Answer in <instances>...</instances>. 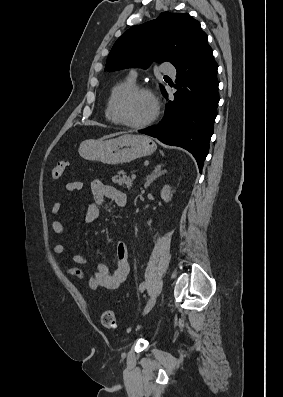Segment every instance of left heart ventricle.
<instances>
[{"label": "left heart ventricle", "instance_id": "b2bd125f", "mask_svg": "<svg viewBox=\"0 0 283 397\" xmlns=\"http://www.w3.org/2000/svg\"><path fill=\"white\" fill-rule=\"evenodd\" d=\"M154 111L152 98L144 93L132 96L124 105V116L132 123H140L148 119Z\"/></svg>", "mask_w": 283, "mask_h": 397}]
</instances>
